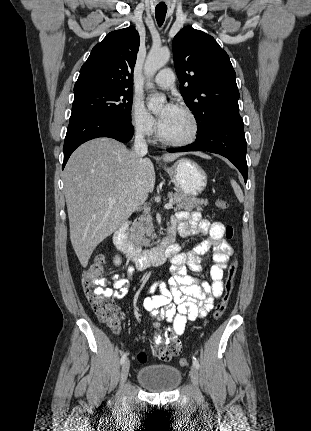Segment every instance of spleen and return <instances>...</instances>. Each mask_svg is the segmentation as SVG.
Masks as SVG:
<instances>
[{"mask_svg":"<svg viewBox=\"0 0 311 431\" xmlns=\"http://www.w3.org/2000/svg\"><path fill=\"white\" fill-rule=\"evenodd\" d=\"M230 184L235 192L237 200H239V202H244L243 192L237 182H235V180H230Z\"/></svg>","mask_w":311,"mask_h":431,"instance_id":"1","label":"spleen"}]
</instances>
